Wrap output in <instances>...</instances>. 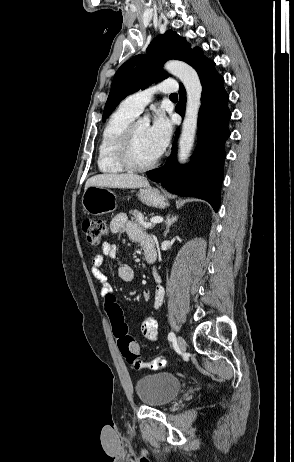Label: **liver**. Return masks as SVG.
Returning a JSON list of instances; mask_svg holds the SVG:
<instances>
[{
    "label": "liver",
    "instance_id": "obj_1",
    "mask_svg": "<svg viewBox=\"0 0 294 462\" xmlns=\"http://www.w3.org/2000/svg\"><path fill=\"white\" fill-rule=\"evenodd\" d=\"M90 186L111 188H141L148 187V180L135 174H99L86 181L85 189Z\"/></svg>",
    "mask_w": 294,
    "mask_h": 462
}]
</instances>
